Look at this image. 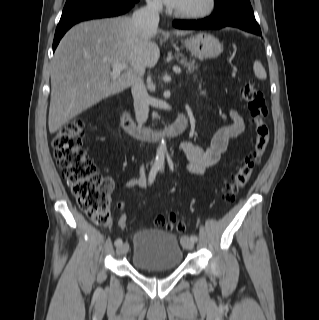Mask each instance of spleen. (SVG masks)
Instances as JSON below:
<instances>
[{"label":"spleen","mask_w":319,"mask_h":320,"mask_svg":"<svg viewBox=\"0 0 319 320\" xmlns=\"http://www.w3.org/2000/svg\"><path fill=\"white\" fill-rule=\"evenodd\" d=\"M254 74L258 79L264 80L267 77L266 71L259 61H255L253 65Z\"/></svg>","instance_id":"spleen-1"}]
</instances>
